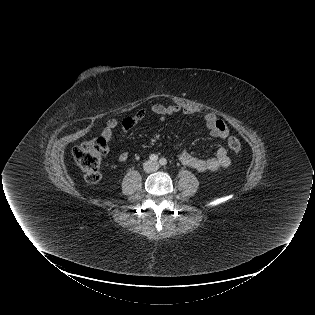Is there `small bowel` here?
<instances>
[{
    "instance_id": "small-bowel-1",
    "label": "small bowel",
    "mask_w": 315,
    "mask_h": 315,
    "mask_svg": "<svg viewBox=\"0 0 315 315\" xmlns=\"http://www.w3.org/2000/svg\"><path fill=\"white\" fill-rule=\"evenodd\" d=\"M153 113L159 117L160 120H165L166 117L178 114L180 112L184 114H191L192 110L188 108H182L179 105H164V104H153L148 109H139L133 116L124 118L121 121L116 119H110L107 121L102 134L107 138L108 141L111 140L113 131L120 127L123 131H130L137 123L142 121L148 113ZM205 125L210 131V134L216 138L225 139L229 135V130L225 123L218 119V117L213 113H208L204 117ZM179 161L192 169L199 172L204 171H216L220 168H226L230 166L231 160L227 154L224 147H218L216 149L215 155L211 158L203 159L196 157L186 150H180L177 153ZM128 158L127 154H121L119 161L124 162Z\"/></svg>"
}]
</instances>
